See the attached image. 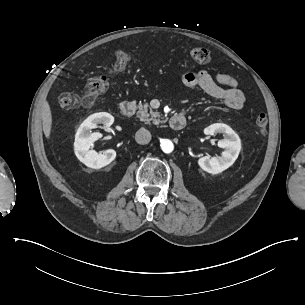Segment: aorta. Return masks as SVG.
I'll return each instance as SVG.
<instances>
[{
    "label": "aorta",
    "mask_w": 305,
    "mask_h": 305,
    "mask_svg": "<svg viewBox=\"0 0 305 305\" xmlns=\"http://www.w3.org/2000/svg\"><path fill=\"white\" fill-rule=\"evenodd\" d=\"M161 149L164 153H171L174 149V145L171 140L163 139L160 142Z\"/></svg>",
    "instance_id": "762f6f07"
}]
</instances>
